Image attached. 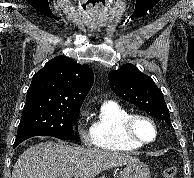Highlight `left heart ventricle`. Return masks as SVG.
<instances>
[{"label": "left heart ventricle", "instance_id": "obj_1", "mask_svg": "<svg viewBox=\"0 0 194 178\" xmlns=\"http://www.w3.org/2000/svg\"><path fill=\"white\" fill-rule=\"evenodd\" d=\"M136 135L142 140L149 141L154 137V130L152 126L146 121L139 120L134 127Z\"/></svg>", "mask_w": 194, "mask_h": 178}]
</instances>
